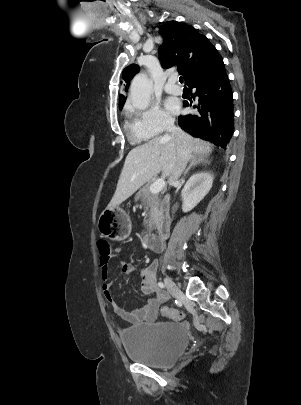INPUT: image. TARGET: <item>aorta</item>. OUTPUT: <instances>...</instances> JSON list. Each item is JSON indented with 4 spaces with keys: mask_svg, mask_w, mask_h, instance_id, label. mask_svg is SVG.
<instances>
[{
    "mask_svg": "<svg viewBox=\"0 0 301 405\" xmlns=\"http://www.w3.org/2000/svg\"><path fill=\"white\" fill-rule=\"evenodd\" d=\"M152 94V82L146 74H137L130 86V97L133 106L140 110L148 108Z\"/></svg>",
    "mask_w": 301,
    "mask_h": 405,
    "instance_id": "obj_1",
    "label": "aorta"
}]
</instances>
